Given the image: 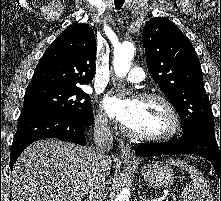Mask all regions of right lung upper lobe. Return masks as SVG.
Wrapping results in <instances>:
<instances>
[{"label": "right lung upper lobe", "mask_w": 221, "mask_h": 201, "mask_svg": "<svg viewBox=\"0 0 221 201\" xmlns=\"http://www.w3.org/2000/svg\"><path fill=\"white\" fill-rule=\"evenodd\" d=\"M95 56L93 29L87 24H73L48 47L27 88H80L94 77Z\"/></svg>", "instance_id": "right-lung-upper-lobe-1"}]
</instances>
